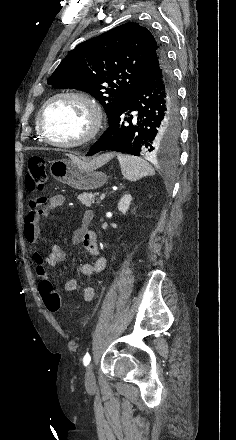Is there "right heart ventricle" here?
Listing matches in <instances>:
<instances>
[{"instance_id": "right-heart-ventricle-1", "label": "right heart ventricle", "mask_w": 236, "mask_h": 440, "mask_svg": "<svg viewBox=\"0 0 236 440\" xmlns=\"http://www.w3.org/2000/svg\"><path fill=\"white\" fill-rule=\"evenodd\" d=\"M36 128H37V133H38V135H39V137H40V140H41L42 137H41V135H40V132H39V128H38V124H37V122H36Z\"/></svg>"}]
</instances>
